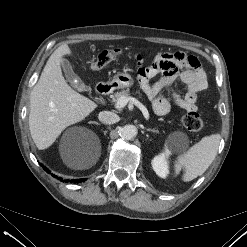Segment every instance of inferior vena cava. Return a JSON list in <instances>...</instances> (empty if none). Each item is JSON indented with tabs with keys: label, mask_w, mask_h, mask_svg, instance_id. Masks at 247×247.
Listing matches in <instances>:
<instances>
[{
	"label": "inferior vena cava",
	"mask_w": 247,
	"mask_h": 247,
	"mask_svg": "<svg viewBox=\"0 0 247 247\" xmlns=\"http://www.w3.org/2000/svg\"><path fill=\"white\" fill-rule=\"evenodd\" d=\"M98 119L104 124H114L119 121V116L110 111H102L98 114Z\"/></svg>",
	"instance_id": "1"
}]
</instances>
